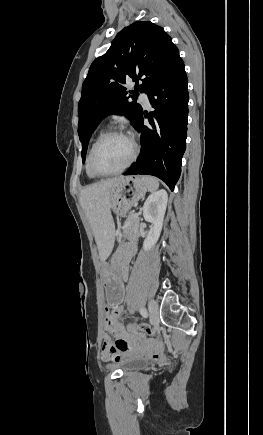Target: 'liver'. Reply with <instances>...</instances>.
Returning <instances> with one entry per match:
<instances>
[{
  "label": "liver",
  "instance_id": "6515ba94",
  "mask_svg": "<svg viewBox=\"0 0 263 435\" xmlns=\"http://www.w3.org/2000/svg\"><path fill=\"white\" fill-rule=\"evenodd\" d=\"M122 178L124 177L96 182L87 186L80 194V205L93 230L102 262L111 254L115 240L110 191L114 184Z\"/></svg>",
  "mask_w": 263,
  "mask_h": 435
}]
</instances>
